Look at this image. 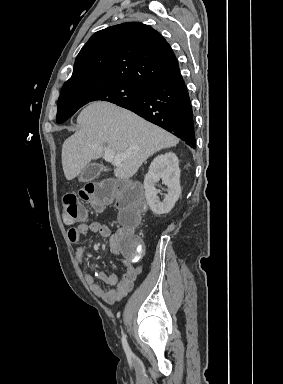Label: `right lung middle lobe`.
<instances>
[{"instance_id":"dd1d6c3e","label":"right lung middle lobe","mask_w":283,"mask_h":384,"mask_svg":"<svg viewBox=\"0 0 283 384\" xmlns=\"http://www.w3.org/2000/svg\"><path fill=\"white\" fill-rule=\"evenodd\" d=\"M145 88L124 81H110L80 87L62 88L58 99L57 123H63L82 106L91 101H109L115 104L139 98Z\"/></svg>"}]
</instances>
